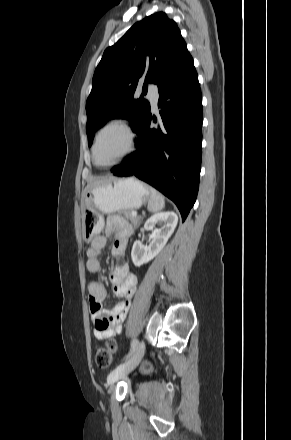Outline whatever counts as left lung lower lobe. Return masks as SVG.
I'll use <instances>...</instances> for the list:
<instances>
[{"instance_id":"left-lung-lower-lobe-1","label":"left lung lower lobe","mask_w":291,"mask_h":440,"mask_svg":"<svg viewBox=\"0 0 291 440\" xmlns=\"http://www.w3.org/2000/svg\"><path fill=\"white\" fill-rule=\"evenodd\" d=\"M158 88L162 127H151L149 110L137 132V150L111 172L136 176L161 191L177 205L184 221L198 193L202 144V95L189 52Z\"/></svg>"}]
</instances>
